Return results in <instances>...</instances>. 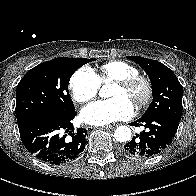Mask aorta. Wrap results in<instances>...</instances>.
<instances>
[{"mask_svg": "<svg viewBox=\"0 0 196 196\" xmlns=\"http://www.w3.org/2000/svg\"><path fill=\"white\" fill-rule=\"evenodd\" d=\"M109 85L105 84L102 86V88L99 91V95L102 98H107L110 96V92L108 89ZM132 132L131 129L128 126H119L114 133V137L119 142H127L131 139Z\"/></svg>", "mask_w": 196, "mask_h": 196, "instance_id": "aorta-1", "label": "aorta"}]
</instances>
